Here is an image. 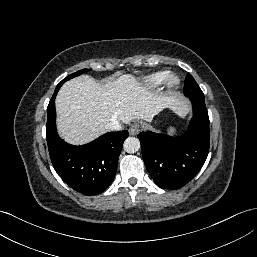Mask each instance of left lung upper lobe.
<instances>
[{"label": "left lung upper lobe", "mask_w": 257, "mask_h": 257, "mask_svg": "<svg viewBox=\"0 0 257 257\" xmlns=\"http://www.w3.org/2000/svg\"><path fill=\"white\" fill-rule=\"evenodd\" d=\"M184 94L189 98H204L202 90L190 74L185 79Z\"/></svg>", "instance_id": "obj_1"}]
</instances>
